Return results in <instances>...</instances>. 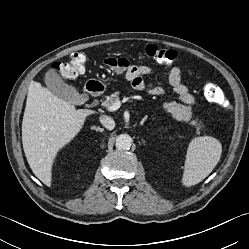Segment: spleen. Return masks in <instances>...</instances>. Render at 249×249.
Masks as SVG:
<instances>
[{
	"label": "spleen",
	"instance_id": "1",
	"mask_svg": "<svg viewBox=\"0 0 249 249\" xmlns=\"http://www.w3.org/2000/svg\"><path fill=\"white\" fill-rule=\"evenodd\" d=\"M222 145L211 136L196 137L189 143L182 178L184 186L190 187L205 179L220 160Z\"/></svg>",
	"mask_w": 249,
	"mask_h": 249
}]
</instances>
